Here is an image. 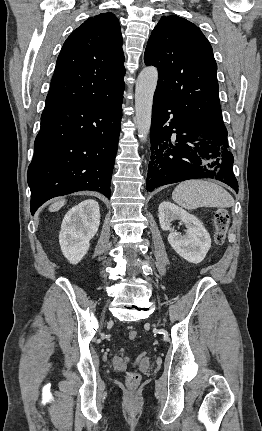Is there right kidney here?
Returning <instances> with one entry per match:
<instances>
[{
    "label": "right kidney",
    "mask_w": 262,
    "mask_h": 431,
    "mask_svg": "<svg viewBox=\"0 0 262 431\" xmlns=\"http://www.w3.org/2000/svg\"><path fill=\"white\" fill-rule=\"evenodd\" d=\"M99 224L100 211L96 200H84L67 212L62 221L59 243L70 263L77 264L85 256Z\"/></svg>",
    "instance_id": "ca27d5eb"
}]
</instances>
